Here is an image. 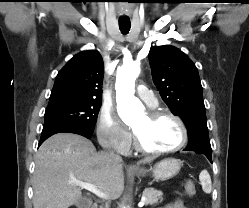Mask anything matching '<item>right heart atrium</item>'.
Instances as JSON below:
<instances>
[{
	"label": "right heart atrium",
	"instance_id": "right-heart-atrium-1",
	"mask_svg": "<svg viewBox=\"0 0 249 208\" xmlns=\"http://www.w3.org/2000/svg\"><path fill=\"white\" fill-rule=\"evenodd\" d=\"M97 137L101 145L121 153H127L132 142L131 133L122 124L115 111L108 107L100 109Z\"/></svg>",
	"mask_w": 249,
	"mask_h": 208
}]
</instances>
